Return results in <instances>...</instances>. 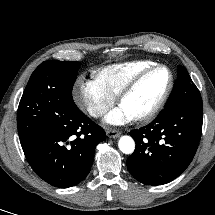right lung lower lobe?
I'll use <instances>...</instances> for the list:
<instances>
[{"mask_svg": "<svg viewBox=\"0 0 215 215\" xmlns=\"http://www.w3.org/2000/svg\"><path fill=\"white\" fill-rule=\"evenodd\" d=\"M105 131L78 108L21 142L35 173L47 183L67 188L89 173L96 145Z\"/></svg>", "mask_w": 215, "mask_h": 215, "instance_id": "1", "label": "right lung lower lobe"}]
</instances>
